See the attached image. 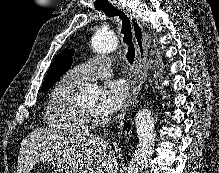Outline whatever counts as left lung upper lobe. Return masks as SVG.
Masks as SVG:
<instances>
[{"mask_svg":"<svg viewBox=\"0 0 219 173\" xmlns=\"http://www.w3.org/2000/svg\"><path fill=\"white\" fill-rule=\"evenodd\" d=\"M72 51L74 50H65L53 61L47 72L45 82L41 89L42 92L49 89L58 80V78L71 67Z\"/></svg>","mask_w":219,"mask_h":173,"instance_id":"5c2ea615","label":"left lung upper lobe"}]
</instances>
